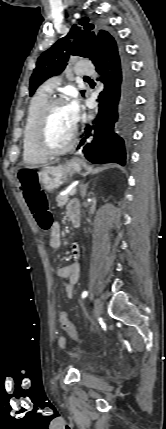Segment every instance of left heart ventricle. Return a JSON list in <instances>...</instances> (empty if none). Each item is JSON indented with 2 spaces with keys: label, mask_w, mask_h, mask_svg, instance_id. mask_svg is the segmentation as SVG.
<instances>
[{
  "label": "left heart ventricle",
  "mask_w": 166,
  "mask_h": 429,
  "mask_svg": "<svg viewBox=\"0 0 166 429\" xmlns=\"http://www.w3.org/2000/svg\"><path fill=\"white\" fill-rule=\"evenodd\" d=\"M74 124L67 104L55 106L49 114L46 124V143L52 148L65 146L69 142Z\"/></svg>",
  "instance_id": "left-heart-ventricle-1"
}]
</instances>
